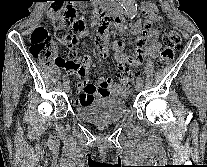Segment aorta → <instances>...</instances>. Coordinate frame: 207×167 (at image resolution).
<instances>
[{"instance_id": "762f6f07", "label": "aorta", "mask_w": 207, "mask_h": 167, "mask_svg": "<svg viewBox=\"0 0 207 167\" xmlns=\"http://www.w3.org/2000/svg\"><path fill=\"white\" fill-rule=\"evenodd\" d=\"M125 13L129 19H133L137 14V5L135 0H120Z\"/></svg>"}]
</instances>
